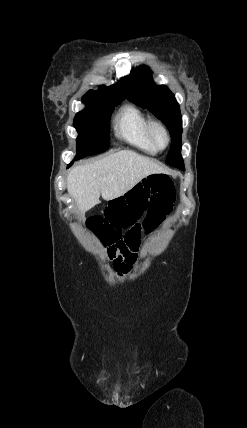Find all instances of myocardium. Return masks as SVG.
<instances>
[{"label": "myocardium", "instance_id": "myocardium-1", "mask_svg": "<svg viewBox=\"0 0 247 428\" xmlns=\"http://www.w3.org/2000/svg\"><path fill=\"white\" fill-rule=\"evenodd\" d=\"M157 132H161L165 137V143L163 145H161L157 141V138H156ZM147 133H148V137H149L151 143L153 144V146L157 150H164L169 146L170 141H171L170 133H169L167 127L161 121H159V120L149 121L148 126H147Z\"/></svg>", "mask_w": 247, "mask_h": 428}]
</instances>
